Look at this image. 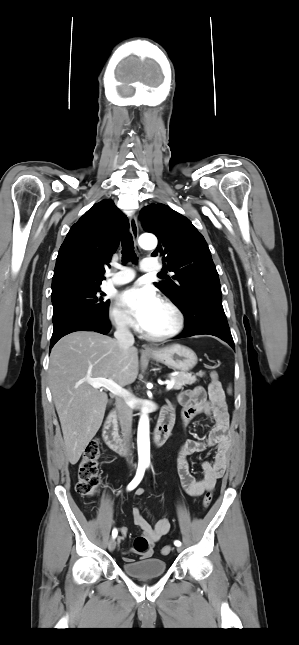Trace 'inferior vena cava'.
I'll list each match as a JSON object with an SVG mask.
<instances>
[{"label":"inferior vena cava","mask_w":299,"mask_h":645,"mask_svg":"<svg viewBox=\"0 0 299 645\" xmlns=\"http://www.w3.org/2000/svg\"><path fill=\"white\" fill-rule=\"evenodd\" d=\"M114 337L124 351L128 350L134 344V336L123 318L116 320V331L114 333ZM117 408L123 439L129 449L131 441L132 410L128 404L121 399L117 402Z\"/></svg>","instance_id":"1"}]
</instances>
